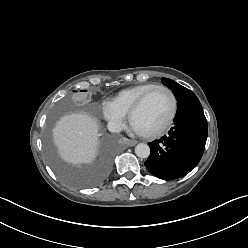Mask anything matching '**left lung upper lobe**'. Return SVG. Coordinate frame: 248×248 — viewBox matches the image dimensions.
Instances as JSON below:
<instances>
[{"label":"left lung upper lobe","mask_w":248,"mask_h":248,"mask_svg":"<svg viewBox=\"0 0 248 248\" xmlns=\"http://www.w3.org/2000/svg\"><path fill=\"white\" fill-rule=\"evenodd\" d=\"M161 81L165 86L172 90L173 94L177 99V102L185 99V97L192 92L171 79L162 78Z\"/></svg>","instance_id":"1"}]
</instances>
